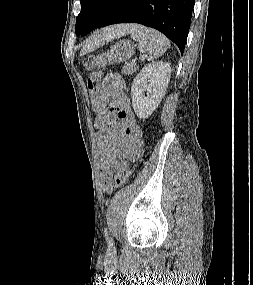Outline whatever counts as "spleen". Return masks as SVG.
Returning a JSON list of instances; mask_svg holds the SVG:
<instances>
[{"label": "spleen", "mask_w": 253, "mask_h": 285, "mask_svg": "<svg viewBox=\"0 0 253 285\" xmlns=\"http://www.w3.org/2000/svg\"><path fill=\"white\" fill-rule=\"evenodd\" d=\"M130 33L137 41L139 51L147 53L148 61L162 56L170 46V41L155 29L136 25Z\"/></svg>", "instance_id": "obj_1"}]
</instances>
